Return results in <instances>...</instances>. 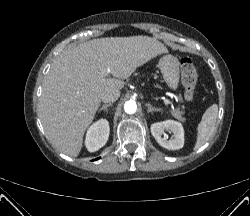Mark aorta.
I'll use <instances>...</instances> for the list:
<instances>
[{
	"mask_svg": "<svg viewBox=\"0 0 250 216\" xmlns=\"http://www.w3.org/2000/svg\"><path fill=\"white\" fill-rule=\"evenodd\" d=\"M124 110L127 114H134L137 110V104L135 101H127L124 104Z\"/></svg>",
	"mask_w": 250,
	"mask_h": 216,
	"instance_id": "1",
	"label": "aorta"
}]
</instances>
